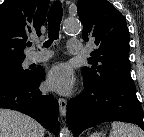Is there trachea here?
Wrapping results in <instances>:
<instances>
[{"label": "trachea", "mask_w": 144, "mask_h": 137, "mask_svg": "<svg viewBox=\"0 0 144 137\" xmlns=\"http://www.w3.org/2000/svg\"><path fill=\"white\" fill-rule=\"evenodd\" d=\"M62 15V4L60 1H55L48 12L49 40L44 43V47H49L54 40L58 39ZM31 45L30 42L27 43V46Z\"/></svg>", "instance_id": "obj_1"}]
</instances>
